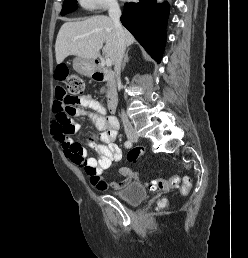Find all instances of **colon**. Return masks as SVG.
<instances>
[{"mask_svg":"<svg viewBox=\"0 0 248 258\" xmlns=\"http://www.w3.org/2000/svg\"><path fill=\"white\" fill-rule=\"evenodd\" d=\"M65 71V70H64ZM61 81H66L67 93L63 96L57 98L55 103L56 121L55 123L59 126L60 132L63 134L73 133V125L71 120V115L73 113L72 106L77 102L78 97L82 95L85 91V83L83 79L77 75L59 77ZM131 152L128 154V160L133 162L144 155L145 146L144 144H135L131 146ZM86 174L90 176H95L94 169H85ZM179 177L177 175H172L169 177H159L149 181V186L153 190H169L175 188L178 185ZM191 187V180L189 178H184L182 192L186 193ZM162 202L160 206H163Z\"/></svg>","mask_w":248,"mask_h":258,"instance_id":"1","label":"colon"}]
</instances>
